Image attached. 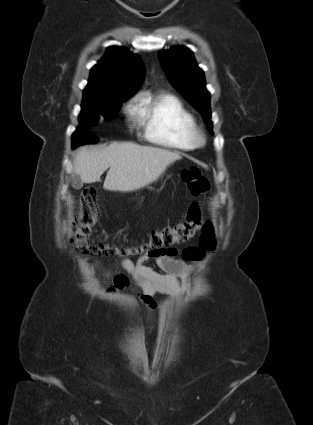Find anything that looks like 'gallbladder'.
I'll return each mask as SVG.
<instances>
[{
  "mask_svg": "<svg viewBox=\"0 0 313 425\" xmlns=\"http://www.w3.org/2000/svg\"><path fill=\"white\" fill-rule=\"evenodd\" d=\"M83 181L79 175L73 174L71 177V185L74 189H81L83 187Z\"/></svg>",
  "mask_w": 313,
  "mask_h": 425,
  "instance_id": "gallbladder-1",
  "label": "gallbladder"
}]
</instances>
